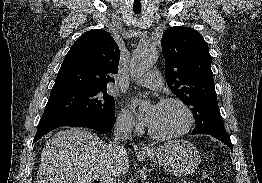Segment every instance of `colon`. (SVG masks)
<instances>
[{
    "label": "colon",
    "mask_w": 262,
    "mask_h": 183,
    "mask_svg": "<svg viewBox=\"0 0 262 183\" xmlns=\"http://www.w3.org/2000/svg\"><path fill=\"white\" fill-rule=\"evenodd\" d=\"M199 183H215L214 179L209 175H204L201 177Z\"/></svg>",
    "instance_id": "5ec220e1"
}]
</instances>
